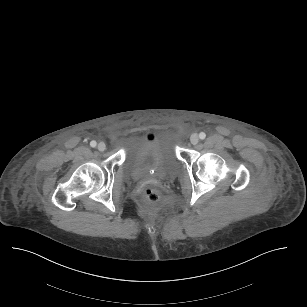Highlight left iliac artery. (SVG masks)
<instances>
[{"instance_id": "obj_1", "label": "left iliac artery", "mask_w": 307, "mask_h": 307, "mask_svg": "<svg viewBox=\"0 0 307 307\" xmlns=\"http://www.w3.org/2000/svg\"><path fill=\"white\" fill-rule=\"evenodd\" d=\"M199 138L202 139V140L205 139L206 138V134L204 132H201L199 134Z\"/></svg>"}]
</instances>
